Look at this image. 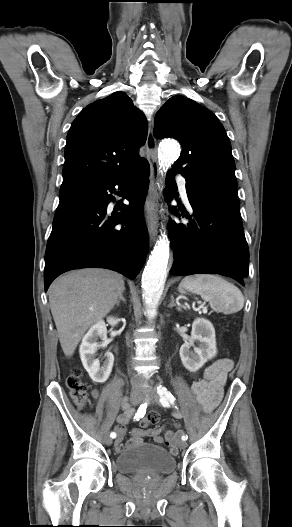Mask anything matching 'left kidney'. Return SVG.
I'll list each match as a JSON object with an SVG mask.
<instances>
[{"mask_svg": "<svg viewBox=\"0 0 292 527\" xmlns=\"http://www.w3.org/2000/svg\"><path fill=\"white\" fill-rule=\"evenodd\" d=\"M194 343H197L198 347H195ZM179 353L183 366L190 372H196L208 360L215 357L217 348L212 323L204 318L195 319L192 324L191 338L181 346Z\"/></svg>", "mask_w": 292, "mask_h": 527, "instance_id": "1", "label": "left kidney"}]
</instances>
